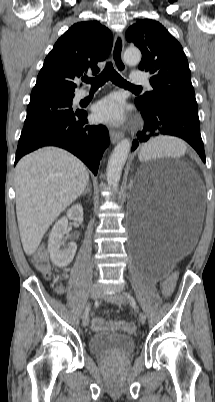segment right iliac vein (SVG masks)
<instances>
[{"mask_svg": "<svg viewBox=\"0 0 215 402\" xmlns=\"http://www.w3.org/2000/svg\"><path fill=\"white\" fill-rule=\"evenodd\" d=\"M91 298L93 300H97L100 297V289L97 286H93L90 291ZM83 326L89 325V316H84L82 320Z\"/></svg>", "mask_w": 215, "mask_h": 402, "instance_id": "1", "label": "right iliac vein"}]
</instances>
